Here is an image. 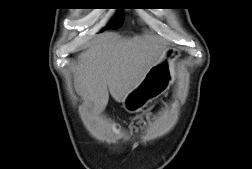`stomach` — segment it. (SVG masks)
Instances as JSON below:
<instances>
[{"label":"stomach","instance_id":"stomach-1","mask_svg":"<svg viewBox=\"0 0 252 169\" xmlns=\"http://www.w3.org/2000/svg\"><path fill=\"white\" fill-rule=\"evenodd\" d=\"M172 56V51H167L164 57L151 67L142 82L127 95L122 102L127 112L140 111L170 88L174 80Z\"/></svg>","mask_w":252,"mask_h":169}]
</instances>
